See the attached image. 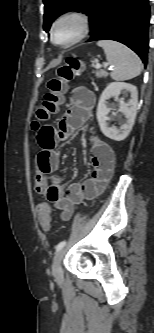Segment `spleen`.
<instances>
[{
	"label": "spleen",
	"instance_id": "spleen-1",
	"mask_svg": "<svg viewBox=\"0 0 154 333\" xmlns=\"http://www.w3.org/2000/svg\"><path fill=\"white\" fill-rule=\"evenodd\" d=\"M97 45L103 48L108 63L114 66L111 72L112 79L124 81L140 75L143 69L142 62L131 49L112 40H100Z\"/></svg>",
	"mask_w": 154,
	"mask_h": 333
}]
</instances>
